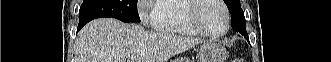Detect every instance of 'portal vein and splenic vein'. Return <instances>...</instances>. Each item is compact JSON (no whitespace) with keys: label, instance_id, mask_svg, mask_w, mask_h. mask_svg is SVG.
<instances>
[{"label":"portal vein and splenic vein","instance_id":"portal-vein-and-splenic-vein-1","mask_svg":"<svg viewBox=\"0 0 331 62\" xmlns=\"http://www.w3.org/2000/svg\"><path fill=\"white\" fill-rule=\"evenodd\" d=\"M130 59L133 60V59H135V57L134 56H131Z\"/></svg>","mask_w":331,"mask_h":62}]
</instances>
